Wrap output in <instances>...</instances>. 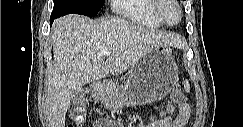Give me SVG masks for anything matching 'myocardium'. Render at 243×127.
<instances>
[{"mask_svg": "<svg viewBox=\"0 0 243 127\" xmlns=\"http://www.w3.org/2000/svg\"><path fill=\"white\" fill-rule=\"evenodd\" d=\"M154 9H153V12H154V16L156 17V19L162 24V25H165V26H168V27H173V26H176L178 25L182 19H183V9L179 3V1L177 0H154ZM168 3H173L177 8H178V11H179V18L177 21L175 22H169L163 15V8L166 4Z\"/></svg>", "mask_w": 243, "mask_h": 127, "instance_id": "f54148a6", "label": "myocardium"}]
</instances>
